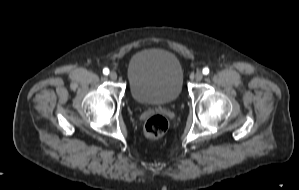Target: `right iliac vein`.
I'll list each match as a JSON object with an SVG mask.
<instances>
[{"label": "right iliac vein", "instance_id": "63e3f726", "mask_svg": "<svg viewBox=\"0 0 299 190\" xmlns=\"http://www.w3.org/2000/svg\"><path fill=\"white\" fill-rule=\"evenodd\" d=\"M109 77L112 80H116L117 79V73L115 71H111L110 74H109Z\"/></svg>", "mask_w": 299, "mask_h": 190}]
</instances>
